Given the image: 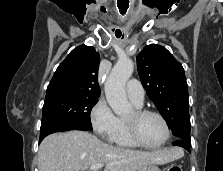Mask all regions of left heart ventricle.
<instances>
[{
    "instance_id": "obj_1",
    "label": "left heart ventricle",
    "mask_w": 223,
    "mask_h": 171,
    "mask_svg": "<svg viewBox=\"0 0 223 171\" xmlns=\"http://www.w3.org/2000/svg\"><path fill=\"white\" fill-rule=\"evenodd\" d=\"M126 121H134L140 139L148 145H158L165 138V127L162 121L154 115H146L135 119L134 110L126 117Z\"/></svg>"
}]
</instances>
